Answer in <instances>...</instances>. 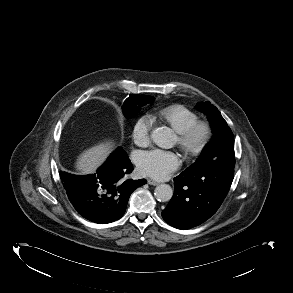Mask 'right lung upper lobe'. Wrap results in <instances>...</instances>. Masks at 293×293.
I'll return each mask as SVG.
<instances>
[{"label":"right lung upper lobe","mask_w":293,"mask_h":293,"mask_svg":"<svg viewBox=\"0 0 293 293\" xmlns=\"http://www.w3.org/2000/svg\"><path fill=\"white\" fill-rule=\"evenodd\" d=\"M144 99H146V100H151L153 97L152 96H147V95H141ZM128 99H129V97L125 100V102L126 101H128ZM124 102V103H125ZM124 105V104H123Z\"/></svg>","instance_id":"cb5924a9"}]
</instances>
